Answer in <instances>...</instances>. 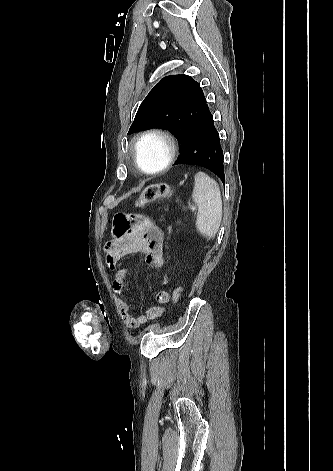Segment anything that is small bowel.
<instances>
[{"mask_svg":"<svg viewBox=\"0 0 333 471\" xmlns=\"http://www.w3.org/2000/svg\"><path fill=\"white\" fill-rule=\"evenodd\" d=\"M164 233L150 218L143 215L117 213L113 216V238L104 245L106 264L110 270L117 269L112 284V299L121 319L129 329L160 318L165 313L164 305L170 301V293L160 290L155 294L157 305L150 307L145 314L133 315L130 305L124 298L125 277L129 267H122L121 261L130 255L142 253L149 267L159 269L164 265ZM168 278L164 276V284Z\"/></svg>","mask_w":333,"mask_h":471,"instance_id":"small-bowel-1","label":"small bowel"}]
</instances>
